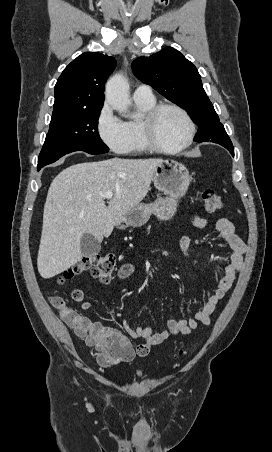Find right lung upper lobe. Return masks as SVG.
I'll return each instance as SVG.
<instances>
[{
	"label": "right lung upper lobe",
	"instance_id": "right-lung-upper-lobe-1",
	"mask_svg": "<svg viewBox=\"0 0 272 452\" xmlns=\"http://www.w3.org/2000/svg\"><path fill=\"white\" fill-rule=\"evenodd\" d=\"M115 66V58L97 52L78 56L57 80L52 115L102 108L104 83Z\"/></svg>",
	"mask_w": 272,
	"mask_h": 452
}]
</instances>
